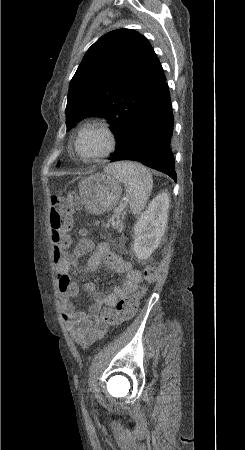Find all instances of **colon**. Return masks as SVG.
<instances>
[{
  "label": "colon",
  "instance_id": "obj_1",
  "mask_svg": "<svg viewBox=\"0 0 245 450\" xmlns=\"http://www.w3.org/2000/svg\"><path fill=\"white\" fill-rule=\"evenodd\" d=\"M52 209L48 218V229L53 247V260L61 262L67 255L72 242V214L80 209L81 200L74 192H67L63 196L53 197ZM93 224H89L80 230V235L86 236ZM158 277L156 263L148 264L143 270L145 282L152 283ZM145 285L139 286L127 297L121 298L115 307H104L99 315L101 321L117 326L135 316L141 300L147 294Z\"/></svg>",
  "mask_w": 245,
  "mask_h": 450
}]
</instances>
